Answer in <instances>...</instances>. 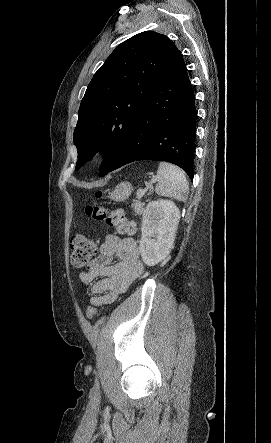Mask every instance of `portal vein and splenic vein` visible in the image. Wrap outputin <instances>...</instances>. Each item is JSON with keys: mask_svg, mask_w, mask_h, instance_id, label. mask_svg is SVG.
I'll list each match as a JSON object with an SVG mask.
<instances>
[{"mask_svg": "<svg viewBox=\"0 0 271 443\" xmlns=\"http://www.w3.org/2000/svg\"><path fill=\"white\" fill-rule=\"evenodd\" d=\"M155 182H157V178H152V180H150V183H146L145 186L141 187V189H139L137 193V198L143 199L144 196H146V194L151 191L152 184H155Z\"/></svg>", "mask_w": 271, "mask_h": 443, "instance_id": "1", "label": "portal vein and splenic vein"}]
</instances>
